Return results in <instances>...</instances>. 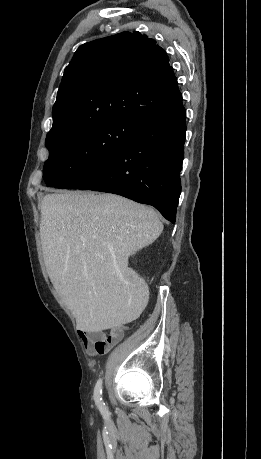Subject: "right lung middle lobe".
Segmentation results:
<instances>
[{"instance_id":"obj_1","label":"right lung middle lobe","mask_w":261,"mask_h":459,"mask_svg":"<svg viewBox=\"0 0 261 459\" xmlns=\"http://www.w3.org/2000/svg\"><path fill=\"white\" fill-rule=\"evenodd\" d=\"M143 124L110 121L75 134L47 135L49 158L43 169L47 186L71 188L116 156Z\"/></svg>"}]
</instances>
